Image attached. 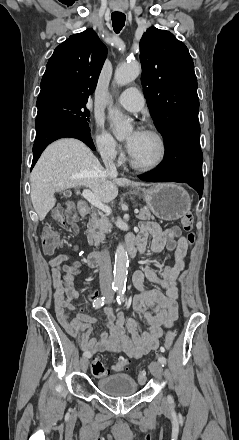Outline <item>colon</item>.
I'll return each mask as SVG.
<instances>
[{"mask_svg": "<svg viewBox=\"0 0 239 440\" xmlns=\"http://www.w3.org/2000/svg\"><path fill=\"white\" fill-rule=\"evenodd\" d=\"M53 216H54V219L56 221H58L59 223H68V224L75 225L78 222V215L75 211L73 204H71V203H68L65 206L57 207ZM180 224H181V227L185 231L190 232L193 227L192 215L191 214L183 215L180 220ZM188 241L190 243H192L194 241V234L193 233H189ZM59 244H60L59 235L51 229H46L42 235V245H43L44 252L46 254L53 253L54 250L59 246ZM66 269H67V272L73 276L77 272L78 263L74 262L71 265L67 266ZM175 336H176V332L174 330L170 329L167 331V333L165 335L164 346L161 348L162 352H166L171 348L173 341L175 339ZM125 367H126V361L120 360L119 362H117L114 365L113 370L119 372V371H123L125 369ZM110 371H111V369L108 366H106L103 362H101L100 360L93 361V363L91 365V372L96 377L107 376L110 373ZM138 379L140 382H144L146 379V375L144 373H141L139 375Z\"/></svg>", "mask_w": 239, "mask_h": 440, "instance_id": "obj_1", "label": "colon"}]
</instances>
